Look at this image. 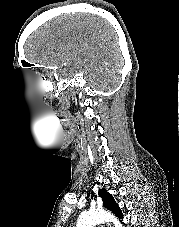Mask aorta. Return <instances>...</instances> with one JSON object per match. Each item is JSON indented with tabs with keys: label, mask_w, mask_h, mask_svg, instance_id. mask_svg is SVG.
Here are the masks:
<instances>
[{
	"label": "aorta",
	"mask_w": 179,
	"mask_h": 227,
	"mask_svg": "<svg viewBox=\"0 0 179 227\" xmlns=\"http://www.w3.org/2000/svg\"><path fill=\"white\" fill-rule=\"evenodd\" d=\"M104 221H111L115 227H122V224L111 213L104 210H90L82 212L77 220L76 227H94Z\"/></svg>",
	"instance_id": "aorta-1"
}]
</instances>
